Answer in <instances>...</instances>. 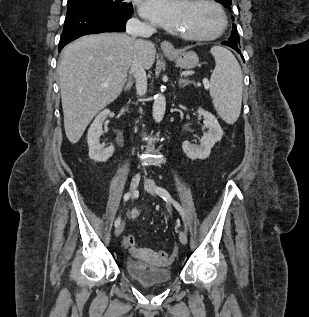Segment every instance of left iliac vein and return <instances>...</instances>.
Listing matches in <instances>:
<instances>
[{"label":"left iliac vein","instance_id":"1","mask_svg":"<svg viewBox=\"0 0 309 317\" xmlns=\"http://www.w3.org/2000/svg\"><path fill=\"white\" fill-rule=\"evenodd\" d=\"M145 189L152 195H155L156 185L153 180L146 178L144 182ZM179 240L183 245L187 244L188 238L183 230L179 231Z\"/></svg>","mask_w":309,"mask_h":317}]
</instances>
